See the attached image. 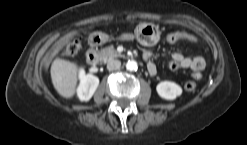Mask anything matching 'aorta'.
Wrapping results in <instances>:
<instances>
[{"label": "aorta", "instance_id": "762f6f07", "mask_svg": "<svg viewBox=\"0 0 247 145\" xmlns=\"http://www.w3.org/2000/svg\"><path fill=\"white\" fill-rule=\"evenodd\" d=\"M137 68H138L137 62L134 61V60H129V61L126 63V69L129 70V71H136Z\"/></svg>", "mask_w": 247, "mask_h": 145}]
</instances>
